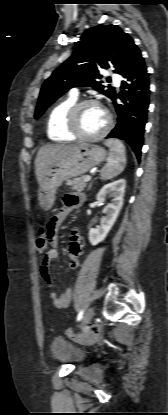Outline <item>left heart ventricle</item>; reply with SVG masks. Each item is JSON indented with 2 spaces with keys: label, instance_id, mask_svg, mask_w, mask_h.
<instances>
[{
  "label": "left heart ventricle",
  "instance_id": "obj_1",
  "mask_svg": "<svg viewBox=\"0 0 168 415\" xmlns=\"http://www.w3.org/2000/svg\"><path fill=\"white\" fill-rule=\"evenodd\" d=\"M107 121L105 110L98 104H89L79 114V126L83 133L91 135L103 129Z\"/></svg>",
  "mask_w": 168,
  "mask_h": 415
}]
</instances>
